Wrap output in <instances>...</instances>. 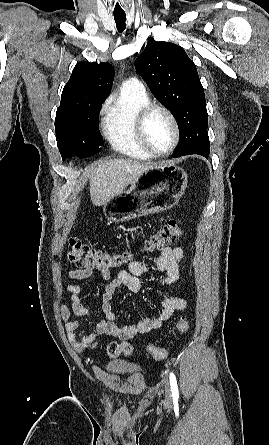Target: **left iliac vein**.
I'll return each instance as SVG.
<instances>
[{
  "label": "left iliac vein",
  "mask_w": 269,
  "mask_h": 445,
  "mask_svg": "<svg viewBox=\"0 0 269 445\" xmlns=\"http://www.w3.org/2000/svg\"><path fill=\"white\" fill-rule=\"evenodd\" d=\"M165 392H166V397L169 399L171 397V391L168 383H166L165 385Z\"/></svg>",
  "instance_id": "1"
}]
</instances>
